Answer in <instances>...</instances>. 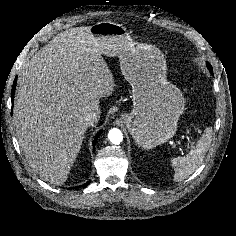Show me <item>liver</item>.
<instances>
[{"instance_id":"obj_1","label":"liver","mask_w":236,"mask_h":236,"mask_svg":"<svg viewBox=\"0 0 236 236\" xmlns=\"http://www.w3.org/2000/svg\"><path fill=\"white\" fill-rule=\"evenodd\" d=\"M90 27L60 32L18 74L13 121L21 150L40 178L63 184L81 149L83 115L100 114L114 78Z\"/></svg>"}]
</instances>
